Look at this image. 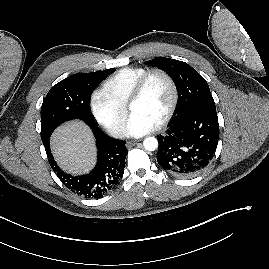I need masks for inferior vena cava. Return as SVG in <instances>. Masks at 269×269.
Instances as JSON below:
<instances>
[{
  "instance_id": "602c4592",
  "label": "inferior vena cava",
  "mask_w": 269,
  "mask_h": 269,
  "mask_svg": "<svg viewBox=\"0 0 269 269\" xmlns=\"http://www.w3.org/2000/svg\"><path fill=\"white\" fill-rule=\"evenodd\" d=\"M113 135L116 138H124L126 136V131L124 130V128H117L113 131Z\"/></svg>"
}]
</instances>
